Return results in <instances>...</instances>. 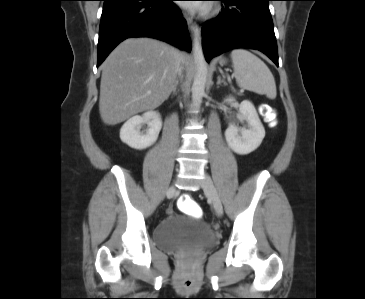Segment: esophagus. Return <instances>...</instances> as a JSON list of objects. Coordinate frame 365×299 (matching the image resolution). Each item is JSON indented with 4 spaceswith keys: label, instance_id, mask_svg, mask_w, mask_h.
<instances>
[{
    "label": "esophagus",
    "instance_id": "obj_1",
    "mask_svg": "<svg viewBox=\"0 0 365 299\" xmlns=\"http://www.w3.org/2000/svg\"><path fill=\"white\" fill-rule=\"evenodd\" d=\"M185 19H186L187 25L189 26V29L191 30V32L195 31V29H197V25L193 21V18L190 17L188 14H185Z\"/></svg>",
    "mask_w": 365,
    "mask_h": 299
}]
</instances>
